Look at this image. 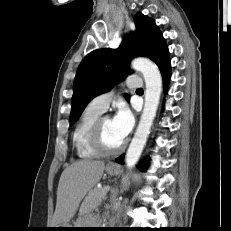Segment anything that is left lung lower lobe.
<instances>
[{
  "label": "left lung lower lobe",
  "instance_id": "left-lung-lower-lobe-1",
  "mask_svg": "<svg viewBox=\"0 0 231 231\" xmlns=\"http://www.w3.org/2000/svg\"><path fill=\"white\" fill-rule=\"evenodd\" d=\"M152 61H154L157 64V66L159 67L161 71L163 81H164L163 82L164 88L166 90L168 82H169V77H170V58H169V50H168L166 43H163L161 45L158 52L152 59ZM123 160H124V155H121L120 157L116 159V162L123 164ZM147 167H148V164L144 161L140 165L139 169L141 171H146Z\"/></svg>",
  "mask_w": 231,
  "mask_h": 231
}]
</instances>
